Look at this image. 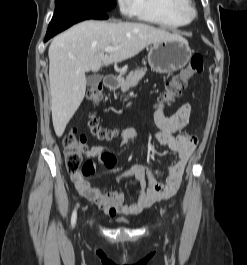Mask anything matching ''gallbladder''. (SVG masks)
<instances>
[{"mask_svg": "<svg viewBox=\"0 0 247 265\" xmlns=\"http://www.w3.org/2000/svg\"><path fill=\"white\" fill-rule=\"evenodd\" d=\"M102 80L101 75H91L87 78V86L88 87H93L97 84H99Z\"/></svg>", "mask_w": 247, "mask_h": 265, "instance_id": "obj_1", "label": "gallbladder"}]
</instances>
